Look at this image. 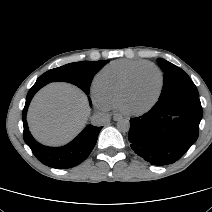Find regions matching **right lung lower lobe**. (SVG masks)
I'll list each match as a JSON object with an SVG mask.
<instances>
[{
    "instance_id": "1",
    "label": "right lung lower lobe",
    "mask_w": 212,
    "mask_h": 212,
    "mask_svg": "<svg viewBox=\"0 0 212 212\" xmlns=\"http://www.w3.org/2000/svg\"><path fill=\"white\" fill-rule=\"evenodd\" d=\"M45 85L46 83L44 82L36 81L27 94L25 107L22 113L24 127L23 138L25 143L31 148L35 157L44 165L56 169L72 168L83 162L89 156L96 144L102 127L88 125L72 142L63 147L53 148L39 144L32 137L28 129L26 114L31 99L35 93Z\"/></svg>"
}]
</instances>
